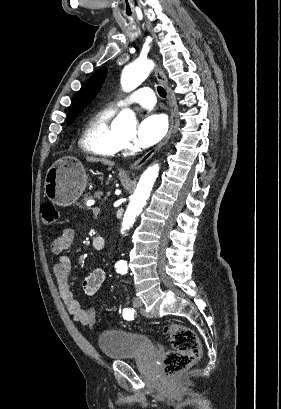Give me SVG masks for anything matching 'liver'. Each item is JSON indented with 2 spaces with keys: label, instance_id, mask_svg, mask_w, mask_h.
I'll return each mask as SVG.
<instances>
[{
  "label": "liver",
  "instance_id": "6515ba94",
  "mask_svg": "<svg viewBox=\"0 0 281 409\" xmlns=\"http://www.w3.org/2000/svg\"><path fill=\"white\" fill-rule=\"evenodd\" d=\"M86 160L90 162H103V164H109V166H114L115 162L109 160V158H97V156H86Z\"/></svg>",
  "mask_w": 281,
  "mask_h": 409
}]
</instances>
